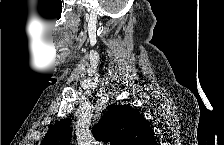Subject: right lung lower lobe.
I'll return each instance as SVG.
<instances>
[{
	"label": "right lung lower lobe",
	"mask_w": 224,
	"mask_h": 145,
	"mask_svg": "<svg viewBox=\"0 0 224 145\" xmlns=\"http://www.w3.org/2000/svg\"><path fill=\"white\" fill-rule=\"evenodd\" d=\"M156 144V141L155 139L153 138L150 142H149V145H155Z\"/></svg>",
	"instance_id": "obj_1"
}]
</instances>
